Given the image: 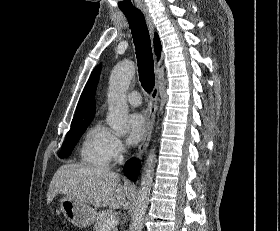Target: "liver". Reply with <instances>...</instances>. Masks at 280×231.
Wrapping results in <instances>:
<instances>
[{
    "label": "liver",
    "instance_id": "obj_1",
    "mask_svg": "<svg viewBox=\"0 0 280 231\" xmlns=\"http://www.w3.org/2000/svg\"><path fill=\"white\" fill-rule=\"evenodd\" d=\"M58 193L77 197L94 207L108 205L110 211L126 207L128 203L127 191L121 185L118 173L79 163H66L57 169L47 191V203H51Z\"/></svg>",
    "mask_w": 280,
    "mask_h": 231
}]
</instances>
